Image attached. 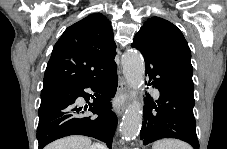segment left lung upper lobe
Instances as JSON below:
<instances>
[{
	"mask_svg": "<svg viewBox=\"0 0 227 149\" xmlns=\"http://www.w3.org/2000/svg\"><path fill=\"white\" fill-rule=\"evenodd\" d=\"M137 35H144L157 55L180 77L194 86L190 48L174 24L159 17H152L144 23L135 37Z\"/></svg>",
	"mask_w": 227,
	"mask_h": 149,
	"instance_id": "1",
	"label": "left lung upper lobe"
}]
</instances>
